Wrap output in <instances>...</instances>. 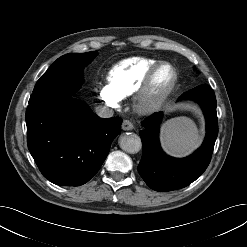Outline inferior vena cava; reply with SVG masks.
Here are the masks:
<instances>
[{"mask_svg":"<svg viewBox=\"0 0 247 247\" xmlns=\"http://www.w3.org/2000/svg\"><path fill=\"white\" fill-rule=\"evenodd\" d=\"M113 110L106 106H98L96 108V114L102 118H109L113 116Z\"/></svg>","mask_w":247,"mask_h":247,"instance_id":"obj_1","label":"inferior vena cava"}]
</instances>
